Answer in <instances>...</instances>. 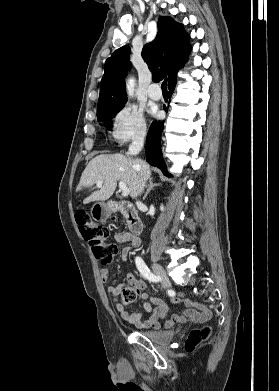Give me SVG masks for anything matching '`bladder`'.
<instances>
[{"instance_id":"bladder-1","label":"bladder","mask_w":279,"mask_h":391,"mask_svg":"<svg viewBox=\"0 0 279 391\" xmlns=\"http://www.w3.org/2000/svg\"><path fill=\"white\" fill-rule=\"evenodd\" d=\"M140 334L156 344H168L175 337L176 332L173 330L170 331H161V330H143L140 331Z\"/></svg>"}]
</instances>
